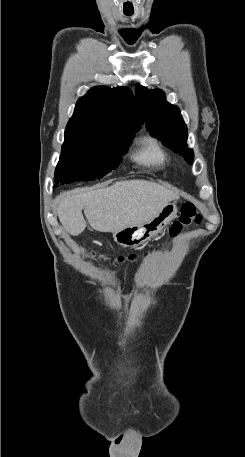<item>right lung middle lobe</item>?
Instances as JSON below:
<instances>
[{
    "label": "right lung middle lobe",
    "mask_w": 245,
    "mask_h": 457,
    "mask_svg": "<svg viewBox=\"0 0 245 457\" xmlns=\"http://www.w3.org/2000/svg\"><path fill=\"white\" fill-rule=\"evenodd\" d=\"M138 129L128 125L69 121L55 182L103 177L119 165Z\"/></svg>",
    "instance_id": "dd1d6c3e"
}]
</instances>
